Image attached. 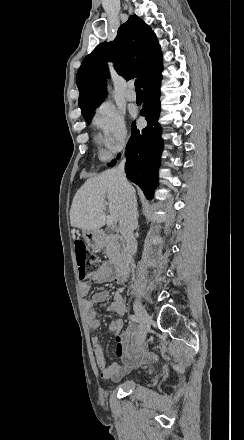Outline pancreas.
<instances>
[{"mask_svg": "<svg viewBox=\"0 0 244 440\" xmlns=\"http://www.w3.org/2000/svg\"><path fill=\"white\" fill-rule=\"evenodd\" d=\"M104 254H107L112 264H118L120 262L121 244L118 240V234H109L103 238Z\"/></svg>", "mask_w": 244, "mask_h": 440, "instance_id": "obj_1", "label": "pancreas"}]
</instances>
